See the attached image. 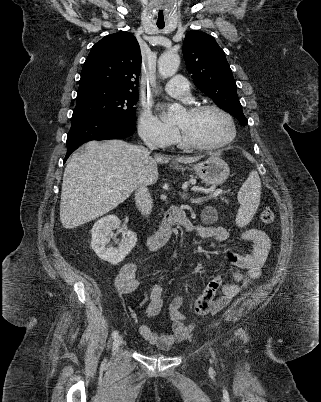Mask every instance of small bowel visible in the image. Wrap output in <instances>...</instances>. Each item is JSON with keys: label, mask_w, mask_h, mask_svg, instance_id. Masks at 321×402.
Masks as SVG:
<instances>
[{"label": "small bowel", "mask_w": 321, "mask_h": 402, "mask_svg": "<svg viewBox=\"0 0 321 402\" xmlns=\"http://www.w3.org/2000/svg\"><path fill=\"white\" fill-rule=\"evenodd\" d=\"M183 224L187 231L193 232L203 239L224 242L229 236L227 229L222 226L193 225L189 221H185ZM241 238L250 243L251 252L249 254H239L236 252H228L226 254L227 262L235 268L231 274L232 281L225 282L220 276H213L202 295L195 301V310L200 302L212 299L207 314H218L253 280L260 277L269 253L270 241L264 231L255 228L243 231ZM136 269L137 266L134 263H128L121 268L116 277V287L120 294H130L139 287V281L136 278ZM218 293H221V296L218 297ZM182 302V296L177 295L169 305L168 312L172 321L171 333H156L148 325L142 324L139 326L141 336L150 344L157 345L163 349H168L173 344L188 337L192 326L186 323L187 318L180 311ZM163 304V288L159 284H154L150 289V301L146 308V315L149 318L157 316ZM133 316L135 315L133 314Z\"/></svg>", "instance_id": "c3829d8e"}]
</instances>
